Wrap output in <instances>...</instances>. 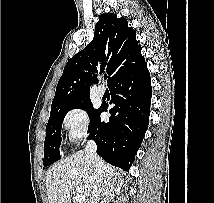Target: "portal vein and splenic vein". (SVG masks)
I'll return each instance as SVG.
<instances>
[{"mask_svg": "<svg viewBox=\"0 0 214 203\" xmlns=\"http://www.w3.org/2000/svg\"><path fill=\"white\" fill-rule=\"evenodd\" d=\"M77 195L75 197L76 202L83 203L86 200V196L83 194V189L81 187L76 188Z\"/></svg>", "mask_w": 214, "mask_h": 203, "instance_id": "1", "label": "portal vein and splenic vein"}]
</instances>
